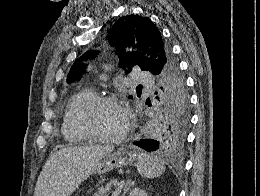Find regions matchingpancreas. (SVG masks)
Here are the masks:
<instances>
[{"label":"pancreas","instance_id":"cf45deb5","mask_svg":"<svg viewBox=\"0 0 260 196\" xmlns=\"http://www.w3.org/2000/svg\"><path fill=\"white\" fill-rule=\"evenodd\" d=\"M112 184L113 186H116V184H118V180H111L110 184H107V186H102V188H99V190H97L94 196H109Z\"/></svg>","mask_w":260,"mask_h":196}]
</instances>
